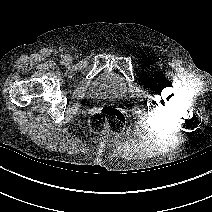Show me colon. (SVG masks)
Returning <instances> with one entry per match:
<instances>
[{"label":"colon","instance_id":"obj_1","mask_svg":"<svg viewBox=\"0 0 212 212\" xmlns=\"http://www.w3.org/2000/svg\"><path fill=\"white\" fill-rule=\"evenodd\" d=\"M89 125L95 132H121L126 125L125 115L110 106L93 112L89 117Z\"/></svg>","mask_w":212,"mask_h":212}]
</instances>
